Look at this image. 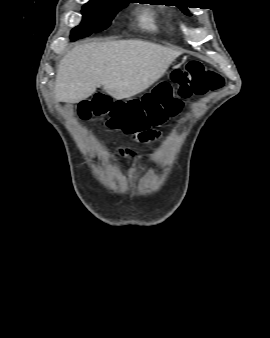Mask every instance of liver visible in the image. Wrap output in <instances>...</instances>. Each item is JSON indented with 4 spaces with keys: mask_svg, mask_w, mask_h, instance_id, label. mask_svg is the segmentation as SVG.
Returning a JSON list of instances; mask_svg holds the SVG:
<instances>
[{
    "mask_svg": "<svg viewBox=\"0 0 270 338\" xmlns=\"http://www.w3.org/2000/svg\"><path fill=\"white\" fill-rule=\"evenodd\" d=\"M180 55V51L140 40L79 45L58 65L55 98L78 103L100 86L117 100L130 98L158 81Z\"/></svg>",
    "mask_w": 270,
    "mask_h": 338,
    "instance_id": "6515ba94",
    "label": "liver"
}]
</instances>
